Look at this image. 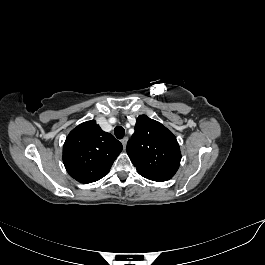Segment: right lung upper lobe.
<instances>
[{"instance_id":"cb5924a9","label":"right lung upper lobe","mask_w":265,"mask_h":265,"mask_svg":"<svg viewBox=\"0 0 265 265\" xmlns=\"http://www.w3.org/2000/svg\"><path fill=\"white\" fill-rule=\"evenodd\" d=\"M122 148L120 141L91 120L68 134L63 146V162L71 177L81 183H91L109 172Z\"/></svg>"}]
</instances>
